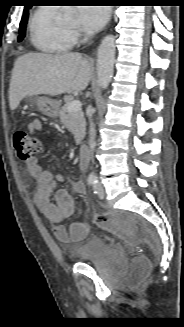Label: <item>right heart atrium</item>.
I'll use <instances>...</instances> for the list:
<instances>
[{"label":"right heart atrium","mask_w":184,"mask_h":327,"mask_svg":"<svg viewBox=\"0 0 184 327\" xmlns=\"http://www.w3.org/2000/svg\"><path fill=\"white\" fill-rule=\"evenodd\" d=\"M72 35H73L75 40L78 38V34L76 32H72Z\"/></svg>","instance_id":"right-heart-atrium-1"}]
</instances>
